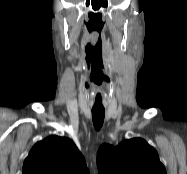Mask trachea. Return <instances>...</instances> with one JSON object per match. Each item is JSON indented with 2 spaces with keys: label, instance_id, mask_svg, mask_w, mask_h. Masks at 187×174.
I'll return each instance as SVG.
<instances>
[{
  "label": "trachea",
  "instance_id": "trachea-1",
  "mask_svg": "<svg viewBox=\"0 0 187 174\" xmlns=\"http://www.w3.org/2000/svg\"><path fill=\"white\" fill-rule=\"evenodd\" d=\"M105 110L104 109H92V120L96 130H99L104 122Z\"/></svg>",
  "mask_w": 187,
  "mask_h": 174
}]
</instances>
